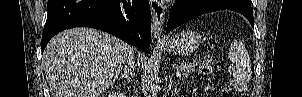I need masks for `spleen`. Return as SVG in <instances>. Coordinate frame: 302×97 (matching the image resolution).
<instances>
[{
	"label": "spleen",
	"mask_w": 302,
	"mask_h": 97,
	"mask_svg": "<svg viewBox=\"0 0 302 97\" xmlns=\"http://www.w3.org/2000/svg\"><path fill=\"white\" fill-rule=\"evenodd\" d=\"M229 58L232 65L229 71L240 81H250L252 71L248 52L245 46L240 41H233L229 48Z\"/></svg>",
	"instance_id": "spleen-1"
}]
</instances>
